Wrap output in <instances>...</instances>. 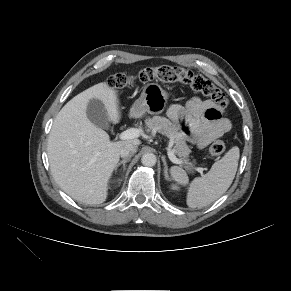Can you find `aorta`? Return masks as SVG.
I'll return each instance as SVG.
<instances>
[{
	"label": "aorta",
	"mask_w": 291,
	"mask_h": 291,
	"mask_svg": "<svg viewBox=\"0 0 291 291\" xmlns=\"http://www.w3.org/2000/svg\"><path fill=\"white\" fill-rule=\"evenodd\" d=\"M156 156L153 153H145L141 158V162L144 166L152 167L156 164Z\"/></svg>",
	"instance_id": "1"
}]
</instances>
